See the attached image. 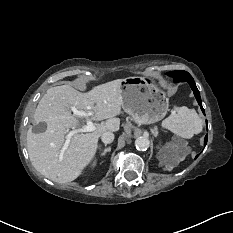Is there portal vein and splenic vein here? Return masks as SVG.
<instances>
[{
  "mask_svg": "<svg viewBox=\"0 0 233 233\" xmlns=\"http://www.w3.org/2000/svg\"><path fill=\"white\" fill-rule=\"evenodd\" d=\"M73 113L77 116L84 117L86 119L87 124L85 126H82L79 129H74L72 131H69L66 136V141L64 144V149H66L70 143V139L73 135L78 134V133H85V132H91L96 129V125L93 124L90 120V115L91 113H87L85 111H79L77 109H72Z\"/></svg>",
  "mask_w": 233,
  "mask_h": 233,
  "instance_id": "1",
  "label": "portal vein and splenic vein"
}]
</instances>
